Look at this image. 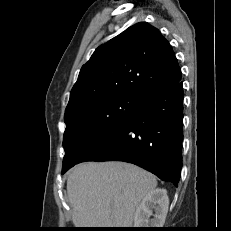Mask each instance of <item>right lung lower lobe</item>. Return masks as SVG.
<instances>
[{
	"mask_svg": "<svg viewBox=\"0 0 231 231\" xmlns=\"http://www.w3.org/2000/svg\"><path fill=\"white\" fill-rule=\"evenodd\" d=\"M183 99L182 82L143 92L136 112L78 163L129 162L177 186L182 167Z\"/></svg>",
	"mask_w": 231,
	"mask_h": 231,
	"instance_id": "1",
	"label": "right lung lower lobe"
}]
</instances>
